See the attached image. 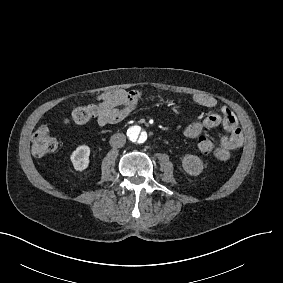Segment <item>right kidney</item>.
<instances>
[{
    "label": "right kidney",
    "mask_w": 283,
    "mask_h": 283,
    "mask_svg": "<svg viewBox=\"0 0 283 283\" xmlns=\"http://www.w3.org/2000/svg\"><path fill=\"white\" fill-rule=\"evenodd\" d=\"M90 149L88 146L78 147L71 156V161L74 164L75 169L84 170L88 166V157Z\"/></svg>",
    "instance_id": "right-kidney-1"
}]
</instances>
